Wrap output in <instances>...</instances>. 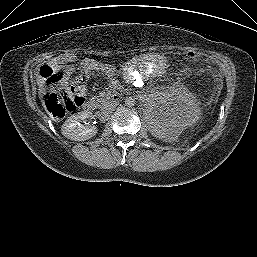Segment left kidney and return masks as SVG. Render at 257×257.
I'll return each mask as SVG.
<instances>
[{
  "instance_id": "left-kidney-1",
  "label": "left kidney",
  "mask_w": 257,
  "mask_h": 257,
  "mask_svg": "<svg viewBox=\"0 0 257 257\" xmlns=\"http://www.w3.org/2000/svg\"><path fill=\"white\" fill-rule=\"evenodd\" d=\"M151 132L162 140L174 141L200 118L195 97L186 89H176L155 96L147 105Z\"/></svg>"
}]
</instances>
